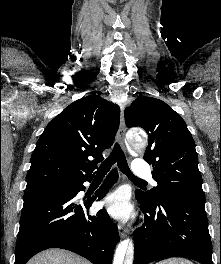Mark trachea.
<instances>
[{"label":"trachea","instance_id":"3493384b","mask_svg":"<svg viewBox=\"0 0 221 264\" xmlns=\"http://www.w3.org/2000/svg\"><path fill=\"white\" fill-rule=\"evenodd\" d=\"M115 162H117L120 171H122V173L125 174L129 179L139 183H146V181L139 179L138 177L133 175L127 164L124 152L122 151L118 143L114 145L113 151L110 156L99 167L97 175H105Z\"/></svg>","mask_w":221,"mask_h":264}]
</instances>
